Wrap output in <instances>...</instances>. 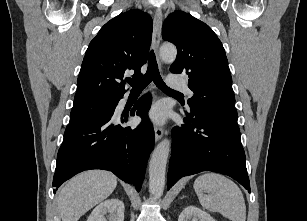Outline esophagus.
Masks as SVG:
<instances>
[{"instance_id": "esophagus-1", "label": "esophagus", "mask_w": 307, "mask_h": 221, "mask_svg": "<svg viewBox=\"0 0 307 221\" xmlns=\"http://www.w3.org/2000/svg\"><path fill=\"white\" fill-rule=\"evenodd\" d=\"M162 20H163L162 10L160 8H157L154 14L153 37H152L153 48L156 52L158 51V47L161 41ZM154 133H155V140L157 142L162 138L164 134V129L160 126L155 125Z\"/></svg>"}]
</instances>
